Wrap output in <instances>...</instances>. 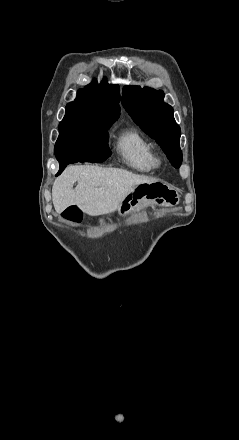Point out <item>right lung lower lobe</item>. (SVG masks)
Here are the masks:
<instances>
[{
	"mask_svg": "<svg viewBox=\"0 0 239 440\" xmlns=\"http://www.w3.org/2000/svg\"><path fill=\"white\" fill-rule=\"evenodd\" d=\"M110 156L108 147L100 146H79L69 148L56 154L59 161V175L69 163L75 162H103Z\"/></svg>",
	"mask_w": 239,
	"mask_h": 440,
	"instance_id": "right-lung-lower-lobe-1",
	"label": "right lung lower lobe"
}]
</instances>
